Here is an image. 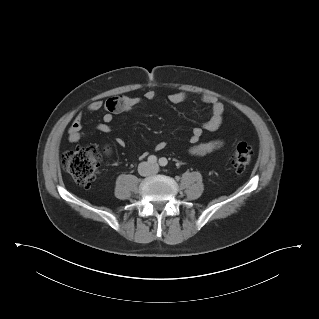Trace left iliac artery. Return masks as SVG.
<instances>
[{"label":"left iliac artery","instance_id":"obj_1","mask_svg":"<svg viewBox=\"0 0 319 319\" xmlns=\"http://www.w3.org/2000/svg\"><path fill=\"white\" fill-rule=\"evenodd\" d=\"M159 164L161 166H166L168 164V161H167L166 158L162 157V158L159 159Z\"/></svg>","mask_w":319,"mask_h":319}]
</instances>
